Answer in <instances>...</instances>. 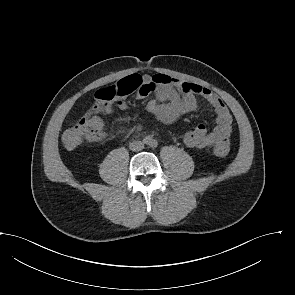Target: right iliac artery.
<instances>
[{"mask_svg":"<svg viewBox=\"0 0 295 295\" xmlns=\"http://www.w3.org/2000/svg\"><path fill=\"white\" fill-rule=\"evenodd\" d=\"M150 138H148V137H146V138H144V140H143V142L145 143V144H148V143H150Z\"/></svg>","mask_w":295,"mask_h":295,"instance_id":"right-iliac-artery-1","label":"right iliac artery"}]
</instances>
